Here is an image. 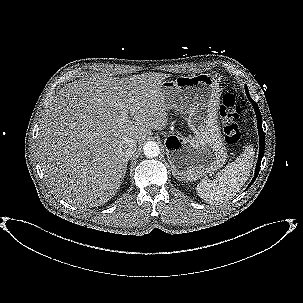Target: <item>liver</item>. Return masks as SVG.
<instances>
[{
  "label": "liver",
  "instance_id": "6515ba94",
  "mask_svg": "<svg viewBox=\"0 0 303 303\" xmlns=\"http://www.w3.org/2000/svg\"><path fill=\"white\" fill-rule=\"evenodd\" d=\"M167 77L96 74L53 97L37 137L40 165L53 192L78 208L103 205L117 193L126 172L122 140L137 143L168 124L161 92Z\"/></svg>",
  "mask_w": 303,
  "mask_h": 303
}]
</instances>
